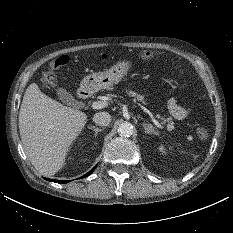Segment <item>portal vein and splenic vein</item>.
Segmentation results:
<instances>
[{
	"label": "portal vein and splenic vein",
	"mask_w": 233,
	"mask_h": 233,
	"mask_svg": "<svg viewBox=\"0 0 233 233\" xmlns=\"http://www.w3.org/2000/svg\"><path fill=\"white\" fill-rule=\"evenodd\" d=\"M107 106H108V103L105 101H96V102L92 103L93 109H102V108H105ZM154 123L157 127L161 128V129L163 128V126L158 121L154 120Z\"/></svg>",
	"instance_id": "obj_1"
}]
</instances>
